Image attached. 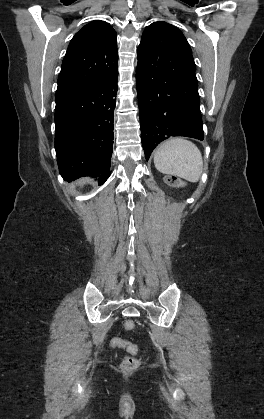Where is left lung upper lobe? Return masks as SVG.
<instances>
[{
  "mask_svg": "<svg viewBox=\"0 0 264 419\" xmlns=\"http://www.w3.org/2000/svg\"><path fill=\"white\" fill-rule=\"evenodd\" d=\"M155 40L166 42V56L169 64H180L185 75L195 77L192 51L179 29L166 22H154L144 30L140 45Z\"/></svg>",
  "mask_w": 264,
  "mask_h": 419,
  "instance_id": "left-lung-upper-lobe-1",
  "label": "left lung upper lobe"
}]
</instances>
